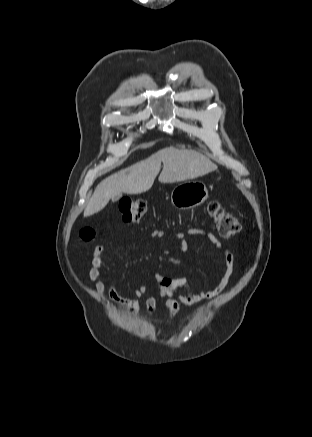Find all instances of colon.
Instances as JSON below:
<instances>
[{
  "instance_id": "1",
  "label": "colon",
  "mask_w": 312,
  "mask_h": 437,
  "mask_svg": "<svg viewBox=\"0 0 312 437\" xmlns=\"http://www.w3.org/2000/svg\"><path fill=\"white\" fill-rule=\"evenodd\" d=\"M147 210V203L143 199L124 197L119 202V211L122 221L136 222L140 220ZM207 211L215 222L219 234L222 237L230 238L237 235L242 225L239 220L230 212L224 209L218 202H210ZM95 232L91 228H84L80 231V238L84 241L91 240Z\"/></svg>"
}]
</instances>
